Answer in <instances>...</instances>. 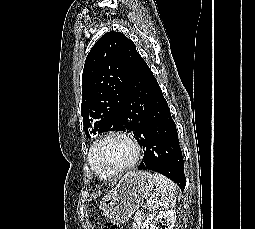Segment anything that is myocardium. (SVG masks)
I'll use <instances>...</instances> for the list:
<instances>
[{
  "instance_id": "myocardium-1",
  "label": "myocardium",
  "mask_w": 255,
  "mask_h": 229,
  "mask_svg": "<svg viewBox=\"0 0 255 229\" xmlns=\"http://www.w3.org/2000/svg\"><path fill=\"white\" fill-rule=\"evenodd\" d=\"M111 137H120L125 139L133 148L134 150V157L132 159V161L123 166V167H119L116 169H110L107 168L106 166H104L98 159H97V150L98 147L100 146V144L102 142H104L105 140L111 138ZM90 153L92 155V160H94L109 176H118L122 173H125L129 170H131L132 168L135 167V165L137 164V162L139 161L140 155H141V150H140V146L138 144V142L128 133L123 132V131H119V130H112L109 131L103 135H101L99 138H97L91 148H90Z\"/></svg>"
}]
</instances>
